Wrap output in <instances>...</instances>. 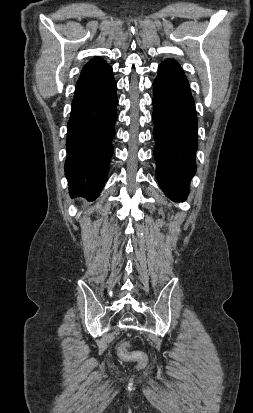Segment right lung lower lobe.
<instances>
[{"mask_svg":"<svg viewBox=\"0 0 253 413\" xmlns=\"http://www.w3.org/2000/svg\"><path fill=\"white\" fill-rule=\"evenodd\" d=\"M117 84L111 66L91 85L75 91L67 124L65 174L71 196L96 199L113 154Z\"/></svg>","mask_w":253,"mask_h":413,"instance_id":"obj_1","label":"right lung lower lobe"}]
</instances>
